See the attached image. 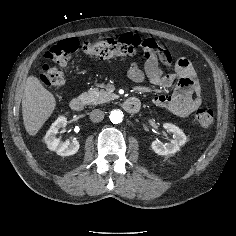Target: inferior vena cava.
I'll return each instance as SVG.
<instances>
[{
  "mask_svg": "<svg viewBox=\"0 0 236 236\" xmlns=\"http://www.w3.org/2000/svg\"><path fill=\"white\" fill-rule=\"evenodd\" d=\"M104 119V112L100 109H94L90 112V120L92 122H100Z\"/></svg>",
  "mask_w": 236,
  "mask_h": 236,
  "instance_id": "1",
  "label": "inferior vena cava"
}]
</instances>
